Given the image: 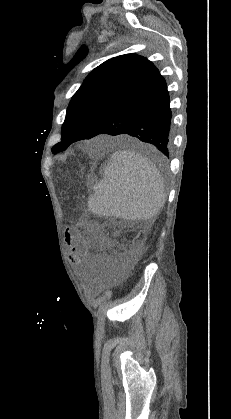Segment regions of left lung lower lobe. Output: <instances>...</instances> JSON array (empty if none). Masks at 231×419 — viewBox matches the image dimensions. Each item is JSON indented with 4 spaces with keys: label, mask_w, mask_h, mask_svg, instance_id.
<instances>
[{
    "label": "left lung lower lobe",
    "mask_w": 231,
    "mask_h": 419,
    "mask_svg": "<svg viewBox=\"0 0 231 419\" xmlns=\"http://www.w3.org/2000/svg\"><path fill=\"white\" fill-rule=\"evenodd\" d=\"M164 78L153 70L86 138L100 134H128L154 145L169 157L171 110Z\"/></svg>",
    "instance_id": "1"
}]
</instances>
